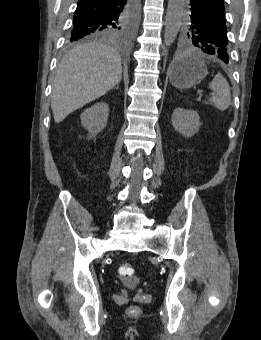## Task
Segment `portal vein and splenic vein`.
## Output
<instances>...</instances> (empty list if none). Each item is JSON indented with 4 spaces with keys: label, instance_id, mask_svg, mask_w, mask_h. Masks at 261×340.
Returning <instances> with one entry per match:
<instances>
[{
    "label": "portal vein and splenic vein",
    "instance_id": "portal-vein-and-splenic-vein-1",
    "mask_svg": "<svg viewBox=\"0 0 261 340\" xmlns=\"http://www.w3.org/2000/svg\"><path fill=\"white\" fill-rule=\"evenodd\" d=\"M211 94H212V95H214L215 93H214V92H212Z\"/></svg>",
    "mask_w": 261,
    "mask_h": 340
}]
</instances>
